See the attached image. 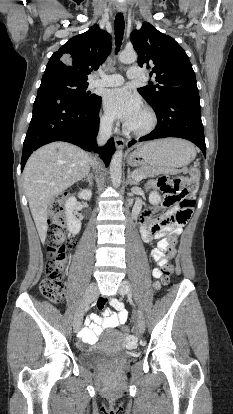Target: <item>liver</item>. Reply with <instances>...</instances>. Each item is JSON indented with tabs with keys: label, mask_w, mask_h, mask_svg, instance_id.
Instances as JSON below:
<instances>
[{
	"label": "liver",
	"mask_w": 233,
	"mask_h": 414,
	"mask_svg": "<svg viewBox=\"0 0 233 414\" xmlns=\"http://www.w3.org/2000/svg\"><path fill=\"white\" fill-rule=\"evenodd\" d=\"M90 165L88 153L66 142L47 144L29 157L23 171L24 190L42 242L48 229V205L53 198L85 178Z\"/></svg>",
	"instance_id": "6515ba94"
}]
</instances>
